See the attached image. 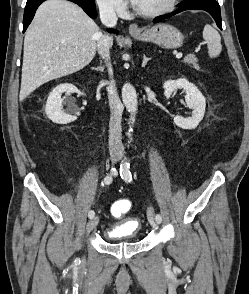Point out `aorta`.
Listing matches in <instances>:
<instances>
[{
  "instance_id": "762f6f07",
  "label": "aorta",
  "mask_w": 249,
  "mask_h": 294,
  "mask_svg": "<svg viewBox=\"0 0 249 294\" xmlns=\"http://www.w3.org/2000/svg\"><path fill=\"white\" fill-rule=\"evenodd\" d=\"M122 100L127 111L130 113V121L134 123L138 108V101L136 90L129 83H125L122 87Z\"/></svg>"
}]
</instances>
